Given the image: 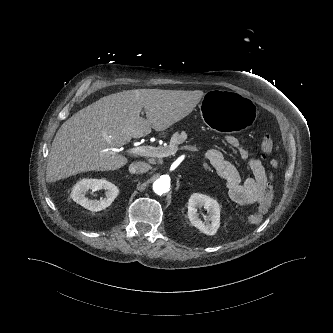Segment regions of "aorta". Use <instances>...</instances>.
I'll return each mask as SVG.
<instances>
[{"label": "aorta", "instance_id": "aorta-1", "mask_svg": "<svg viewBox=\"0 0 333 333\" xmlns=\"http://www.w3.org/2000/svg\"><path fill=\"white\" fill-rule=\"evenodd\" d=\"M170 189V180L167 177L161 176L153 183V191L157 195H163Z\"/></svg>", "mask_w": 333, "mask_h": 333}]
</instances>
